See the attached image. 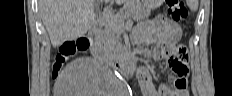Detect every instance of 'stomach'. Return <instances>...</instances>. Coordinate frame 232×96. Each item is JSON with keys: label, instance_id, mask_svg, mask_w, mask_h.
Segmentation results:
<instances>
[{"label": "stomach", "instance_id": "stomach-1", "mask_svg": "<svg viewBox=\"0 0 232 96\" xmlns=\"http://www.w3.org/2000/svg\"><path fill=\"white\" fill-rule=\"evenodd\" d=\"M142 2H143V5L146 6L147 9H150V8L158 7L163 1L162 0H142Z\"/></svg>", "mask_w": 232, "mask_h": 96}]
</instances>
